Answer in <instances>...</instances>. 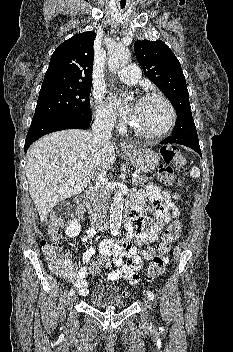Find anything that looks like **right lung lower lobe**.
<instances>
[{"mask_svg":"<svg viewBox=\"0 0 233 352\" xmlns=\"http://www.w3.org/2000/svg\"><path fill=\"white\" fill-rule=\"evenodd\" d=\"M91 120V111L33 119L25 140L24 151L27 152L30 145L45 134L65 129H88Z\"/></svg>","mask_w":233,"mask_h":352,"instance_id":"1","label":"right lung lower lobe"}]
</instances>
